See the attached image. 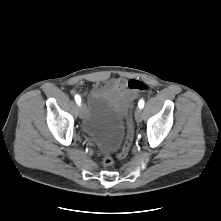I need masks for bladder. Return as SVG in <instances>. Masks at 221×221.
Returning <instances> with one entry per match:
<instances>
[{
    "label": "bladder",
    "instance_id": "1",
    "mask_svg": "<svg viewBox=\"0 0 221 221\" xmlns=\"http://www.w3.org/2000/svg\"><path fill=\"white\" fill-rule=\"evenodd\" d=\"M83 131L105 152L119 148L125 138L126 114L115 100L101 92H92L86 104Z\"/></svg>",
    "mask_w": 221,
    "mask_h": 221
}]
</instances>
